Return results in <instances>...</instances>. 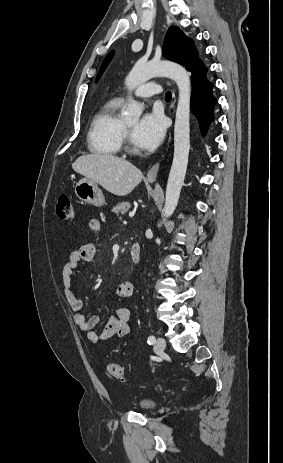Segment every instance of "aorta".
<instances>
[{"instance_id":"762f6f07","label":"aorta","mask_w":283,"mask_h":463,"mask_svg":"<svg viewBox=\"0 0 283 463\" xmlns=\"http://www.w3.org/2000/svg\"><path fill=\"white\" fill-rule=\"evenodd\" d=\"M157 76H166L173 79L179 90V98L176 109L174 125V156L168 177L164 217H170L177 207L181 188L184 184L188 157L190 150V97L191 81L185 68L170 61H137L125 80L128 90H133L149 79ZM143 107L135 100L128 103L122 112L125 120H137L142 114ZM161 223L158 224V227Z\"/></svg>"}]
</instances>
